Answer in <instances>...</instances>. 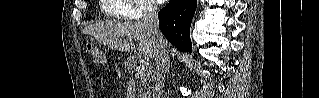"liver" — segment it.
<instances>
[{"label":"liver","instance_id":"obj_1","mask_svg":"<svg viewBox=\"0 0 319 98\" xmlns=\"http://www.w3.org/2000/svg\"><path fill=\"white\" fill-rule=\"evenodd\" d=\"M85 33L110 48L125 52L135 50L139 55L154 58L156 42L142 21L101 22L88 26ZM136 39L140 40L137 48L133 42Z\"/></svg>","mask_w":319,"mask_h":98}]
</instances>
